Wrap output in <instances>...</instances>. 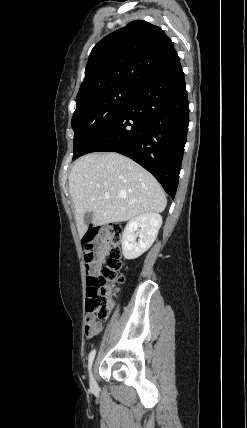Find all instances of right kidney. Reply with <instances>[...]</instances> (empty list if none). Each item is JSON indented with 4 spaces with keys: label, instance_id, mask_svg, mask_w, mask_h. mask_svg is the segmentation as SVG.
Wrapping results in <instances>:
<instances>
[{
    "label": "right kidney",
    "instance_id": "right-kidney-1",
    "mask_svg": "<svg viewBox=\"0 0 247 428\" xmlns=\"http://www.w3.org/2000/svg\"><path fill=\"white\" fill-rule=\"evenodd\" d=\"M161 225L162 216L153 212L144 213L129 221L122 235L124 257L136 259L147 251L154 243Z\"/></svg>",
    "mask_w": 247,
    "mask_h": 428
}]
</instances>
